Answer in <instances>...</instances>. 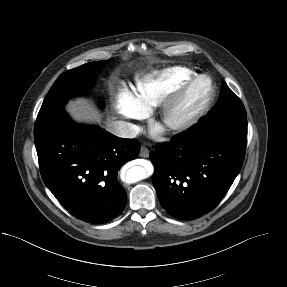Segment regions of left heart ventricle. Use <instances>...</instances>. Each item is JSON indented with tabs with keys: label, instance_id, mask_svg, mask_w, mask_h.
Instances as JSON below:
<instances>
[{
	"label": "left heart ventricle",
	"instance_id": "1",
	"mask_svg": "<svg viewBox=\"0 0 287 287\" xmlns=\"http://www.w3.org/2000/svg\"><path fill=\"white\" fill-rule=\"evenodd\" d=\"M207 89L208 86L205 81H200L195 84L187 94L184 102L177 112V115L183 114L196 106L206 95Z\"/></svg>",
	"mask_w": 287,
	"mask_h": 287
}]
</instances>
